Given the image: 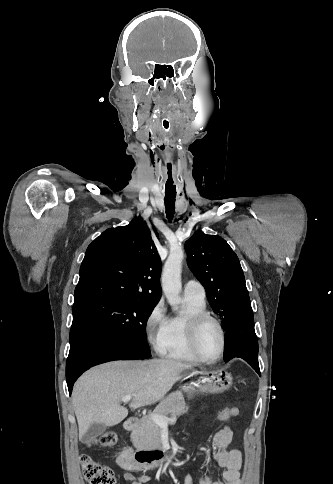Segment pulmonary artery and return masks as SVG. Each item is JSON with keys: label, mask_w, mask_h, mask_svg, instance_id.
<instances>
[{"label": "pulmonary artery", "mask_w": 333, "mask_h": 484, "mask_svg": "<svg viewBox=\"0 0 333 484\" xmlns=\"http://www.w3.org/2000/svg\"><path fill=\"white\" fill-rule=\"evenodd\" d=\"M184 296L205 301L206 293L201 283L196 280H189L184 284Z\"/></svg>", "instance_id": "e3ab8cb5"}]
</instances>
